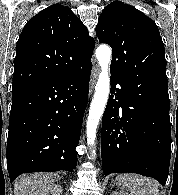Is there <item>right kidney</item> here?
Listing matches in <instances>:
<instances>
[{"instance_id":"1","label":"right kidney","mask_w":178,"mask_h":195,"mask_svg":"<svg viewBox=\"0 0 178 195\" xmlns=\"http://www.w3.org/2000/svg\"><path fill=\"white\" fill-rule=\"evenodd\" d=\"M62 192L63 191L60 185L49 184L39 188L31 195H62Z\"/></svg>"}]
</instances>
